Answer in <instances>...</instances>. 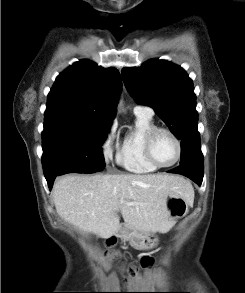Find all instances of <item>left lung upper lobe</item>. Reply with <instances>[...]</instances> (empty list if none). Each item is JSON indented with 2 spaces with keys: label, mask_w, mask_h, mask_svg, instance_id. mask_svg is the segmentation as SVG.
<instances>
[{
  "label": "left lung upper lobe",
  "mask_w": 245,
  "mask_h": 293,
  "mask_svg": "<svg viewBox=\"0 0 245 293\" xmlns=\"http://www.w3.org/2000/svg\"><path fill=\"white\" fill-rule=\"evenodd\" d=\"M124 83L140 104L152 107L181 139V165L204 168L192 80L180 66L151 59L141 67L124 68Z\"/></svg>",
  "instance_id": "left-lung-upper-lobe-1"
}]
</instances>
